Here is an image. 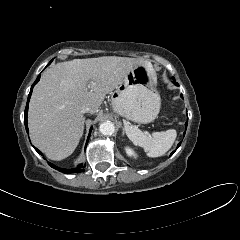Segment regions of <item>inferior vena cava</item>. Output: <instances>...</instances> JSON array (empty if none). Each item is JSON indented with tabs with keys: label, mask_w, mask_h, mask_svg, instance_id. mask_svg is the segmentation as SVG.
I'll use <instances>...</instances> for the list:
<instances>
[{
	"label": "inferior vena cava",
	"mask_w": 240,
	"mask_h": 240,
	"mask_svg": "<svg viewBox=\"0 0 240 240\" xmlns=\"http://www.w3.org/2000/svg\"><path fill=\"white\" fill-rule=\"evenodd\" d=\"M90 111H91V108L89 106H83L81 109L82 113H86V112H90Z\"/></svg>",
	"instance_id": "obj_1"
}]
</instances>
